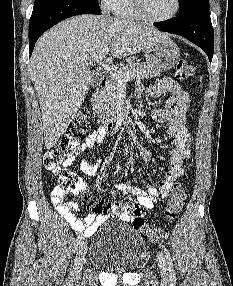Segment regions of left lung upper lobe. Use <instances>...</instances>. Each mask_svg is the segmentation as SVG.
Wrapping results in <instances>:
<instances>
[{
	"mask_svg": "<svg viewBox=\"0 0 233 286\" xmlns=\"http://www.w3.org/2000/svg\"><path fill=\"white\" fill-rule=\"evenodd\" d=\"M197 1L199 0H179V7H180L179 15L185 14Z\"/></svg>",
	"mask_w": 233,
	"mask_h": 286,
	"instance_id": "left-lung-upper-lobe-1",
	"label": "left lung upper lobe"
}]
</instances>
